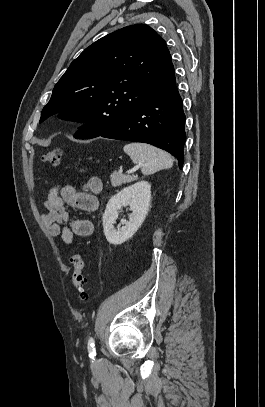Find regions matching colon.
<instances>
[{
    "label": "colon",
    "instance_id": "5ec220e1",
    "mask_svg": "<svg viewBox=\"0 0 265 407\" xmlns=\"http://www.w3.org/2000/svg\"><path fill=\"white\" fill-rule=\"evenodd\" d=\"M64 156H65L64 151L59 148H56L46 151L42 156V160L47 164L56 166L61 163ZM70 262L73 266L72 272L73 286L78 294L79 299L82 301H86L89 298L88 292L86 290L88 280L83 273L84 268L83 258L80 254H74L70 258Z\"/></svg>",
    "mask_w": 265,
    "mask_h": 407
}]
</instances>
